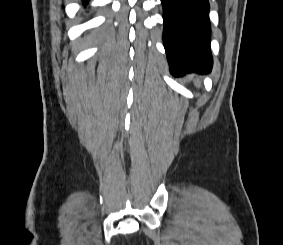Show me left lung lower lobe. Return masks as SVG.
Masks as SVG:
<instances>
[{
  "mask_svg": "<svg viewBox=\"0 0 283 245\" xmlns=\"http://www.w3.org/2000/svg\"><path fill=\"white\" fill-rule=\"evenodd\" d=\"M163 42L174 76L189 72L209 73L210 51L208 0H161Z\"/></svg>",
  "mask_w": 283,
  "mask_h": 245,
  "instance_id": "0a47b994",
  "label": "left lung lower lobe"
}]
</instances>
